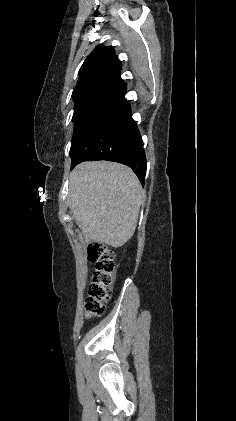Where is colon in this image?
Wrapping results in <instances>:
<instances>
[{
    "label": "colon",
    "mask_w": 236,
    "mask_h": 421,
    "mask_svg": "<svg viewBox=\"0 0 236 421\" xmlns=\"http://www.w3.org/2000/svg\"><path fill=\"white\" fill-rule=\"evenodd\" d=\"M88 259L95 265L85 300V314L91 318L105 311L115 283L117 264L113 251L102 243L88 248Z\"/></svg>",
    "instance_id": "obj_1"
}]
</instances>
